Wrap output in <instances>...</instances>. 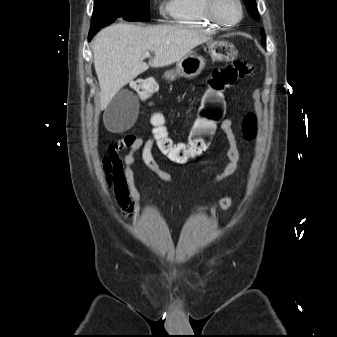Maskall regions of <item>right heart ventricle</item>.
<instances>
[{
	"label": "right heart ventricle",
	"mask_w": 337,
	"mask_h": 337,
	"mask_svg": "<svg viewBox=\"0 0 337 337\" xmlns=\"http://www.w3.org/2000/svg\"><path fill=\"white\" fill-rule=\"evenodd\" d=\"M165 13L173 23L189 29L213 33L221 27L207 16L205 0H168Z\"/></svg>",
	"instance_id": "right-heart-ventricle-1"
}]
</instances>
